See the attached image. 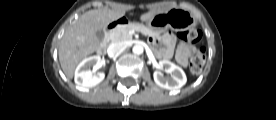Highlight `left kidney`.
Instances as JSON below:
<instances>
[{"label": "left kidney", "instance_id": "1", "mask_svg": "<svg viewBox=\"0 0 276 120\" xmlns=\"http://www.w3.org/2000/svg\"><path fill=\"white\" fill-rule=\"evenodd\" d=\"M159 65L171 73V78H166L162 72L155 71L153 77L158 86L170 91H177L186 84L187 78L182 68L168 60H161Z\"/></svg>", "mask_w": 276, "mask_h": 120}]
</instances>
